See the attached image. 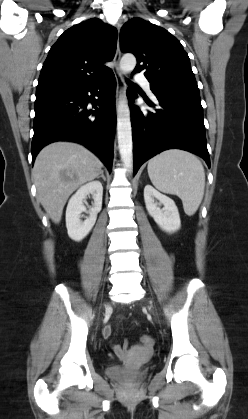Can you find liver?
<instances>
[{
    "instance_id": "obj_1",
    "label": "liver",
    "mask_w": 248,
    "mask_h": 419,
    "mask_svg": "<svg viewBox=\"0 0 248 419\" xmlns=\"http://www.w3.org/2000/svg\"><path fill=\"white\" fill-rule=\"evenodd\" d=\"M101 168L99 158L77 143H52L39 152L32 170L37 198L54 223L61 221L69 196L98 177Z\"/></svg>"
}]
</instances>
